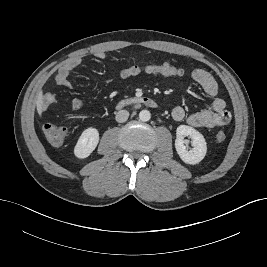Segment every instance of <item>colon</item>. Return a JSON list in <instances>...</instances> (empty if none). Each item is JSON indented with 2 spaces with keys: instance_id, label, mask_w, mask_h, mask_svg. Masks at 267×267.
I'll return each instance as SVG.
<instances>
[{
  "instance_id": "1",
  "label": "colon",
  "mask_w": 267,
  "mask_h": 267,
  "mask_svg": "<svg viewBox=\"0 0 267 267\" xmlns=\"http://www.w3.org/2000/svg\"><path fill=\"white\" fill-rule=\"evenodd\" d=\"M181 68L175 64L165 62L161 64L149 63L146 65H133L122 69L119 72V76L123 79L138 77L143 74L147 75H163L174 76L179 75ZM43 132L47 140L54 146L61 145L67 135V130L64 126L58 123H47L43 127ZM226 136L224 132H218L216 135V141L221 143L225 140Z\"/></svg>"
}]
</instances>
